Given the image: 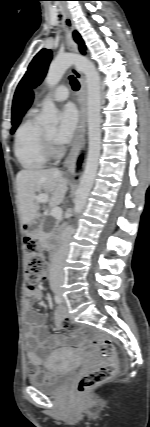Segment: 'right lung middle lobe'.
I'll list each match as a JSON object with an SVG mask.
<instances>
[{
    "label": "right lung middle lobe",
    "instance_id": "obj_1",
    "mask_svg": "<svg viewBox=\"0 0 150 427\" xmlns=\"http://www.w3.org/2000/svg\"><path fill=\"white\" fill-rule=\"evenodd\" d=\"M16 127H17V125H15V126L13 127V129H12L11 133H13V132H14V130L16 129Z\"/></svg>",
    "mask_w": 150,
    "mask_h": 427
}]
</instances>
